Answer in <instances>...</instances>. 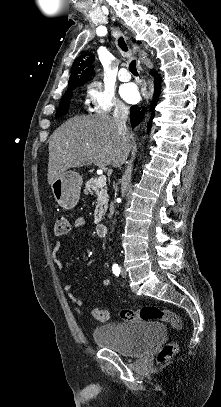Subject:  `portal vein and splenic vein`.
Segmentation results:
<instances>
[{"label":"portal vein and splenic vein","mask_w":221,"mask_h":407,"mask_svg":"<svg viewBox=\"0 0 221 407\" xmlns=\"http://www.w3.org/2000/svg\"><path fill=\"white\" fill-rule=\"evenodd\" d=\"M97 187H102L106 185V176L105 175H100L97 182H96Z\"/></svg>","instance_id":"obj_1"}]
</instances>
